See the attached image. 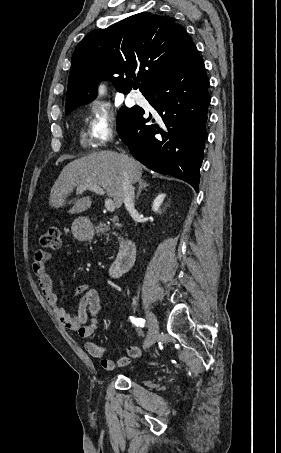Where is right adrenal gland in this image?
<instances>
[{
    "instance_id": "obj_1",
    "label": "right adrenal gland",
    "mask_w": 281,
    "mask_h": 453,
    "mask_svg": "<svg viewBox=\"0 0 281 453\" xmlns=\"http://www.w3.org/2000/svg\"><path fill=\"white\" fill-rule=\"evenodd\" d=\"M138 182H139V188H138V192L136 194V200H138L142 188H146V186H149L148 182H145V180H143V178H141V180H138Z\"/></svg>"
}]
</instances>
